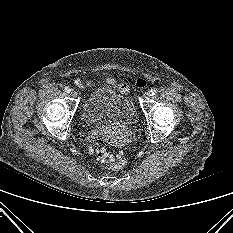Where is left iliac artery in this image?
Masks as SVG:
<instances>
[{
	"label": "left iliac artery",
	"mask_w": 233,
	"mask_h": 233,
	"mask_svg": "<svg viewBox=\"0 0 233 233\" xmlns=\"http://www.w3.org/2000/svg\"><path fill=\"white\" fill-rule=\"evenodd\" d=\"M157 90L156 89H152L151 91H150V93H151V96H154V95H156L157 94Z\"/></svg>",
	"instance_id": "obj_1"
}]
</instances>
